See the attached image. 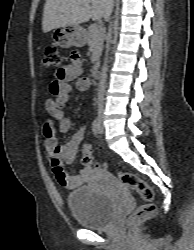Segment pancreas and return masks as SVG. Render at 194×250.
I'll use <instances>...</instances> for the list:
<instances>
[{"mask_svg": "<svg viewBox=\"0 0 194 250\" xmlns=\"http://www.w3.org/2000/svg\"><path fill=\"white\" fill-rule=\"evenodd\" d=\"M86 42L89 45V51L91 52V62L98 61L105 38V29L98 28L97 25H90L88 31L85 33Z\"/></svg>", "mask_w": 194, "mask_h": 250, "instance_id": "1", "label": "pancreas"}]
</instances>
